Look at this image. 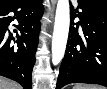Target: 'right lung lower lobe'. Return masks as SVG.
<instances>
[{"label":"right lung lower lobe","instance_id":"right-lung-lower-lobe-1","mask_svg":"<svg viewBox=\"0 0 107 89\" xmlns=\"http://www.w3.org/2000/svg\"><path fill=\"white\" fill-rule=\"evenodd\" d=\"M21 37L7 39L8 25L15 17ZM43 13L41 0H5L0 2V75L15 80L24 89H31L32 70L38 44L39 19ZM17 33V30H15Z\"/></svg>","mask_w":107,"mask_h":89}]
</instances>
